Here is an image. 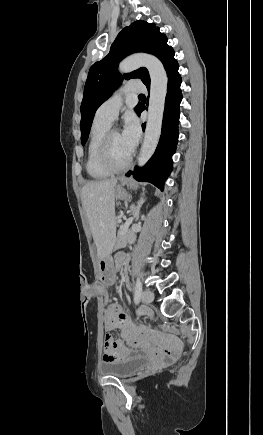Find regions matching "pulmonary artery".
Listing matches in <instances>:
<instances>
[{"mask_svg":"<svg viewBox=\"0 0 263 435\" xmlns=\"http://www.w3.org/2000/svg\"><path fill=\"white\" fill-rule=\"evenodd\" d=\"M146 91L144 84L138 80H132L123 88L119 89L107 99L96 111L97 119L112 123L122 107V97L125 93H142Z\"/></svg>","mask_w":263,"mask_h":435,"instance_id":"e3ab8cb5","label":"pulmonary artery"}]
</instances>
